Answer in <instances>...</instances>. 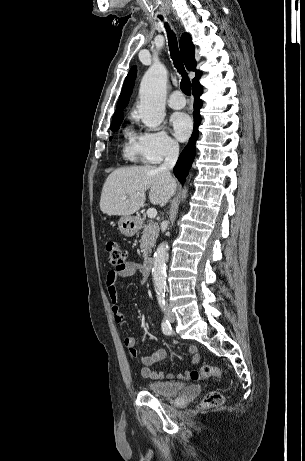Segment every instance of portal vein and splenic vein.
Returning <instances> with one entry per match:
<instances>
[{
  "label": "portal vein and splenic vein",
  "instance_id": "1",
  "mask_svg": "<svg viewBox=\"0 0 305 461\" xmlns=\"http://www.w3.org/2000/svg\"><path fill=\"white\" fill-rule=\"evenodd\" d=\"M127 196H124L123 199H126ZM148 218H155L157 216V210L155 208H149L147 210Z\"/></svg>",
  "mask_w": 305,
  "mask_h": 461
}]
</instances>
